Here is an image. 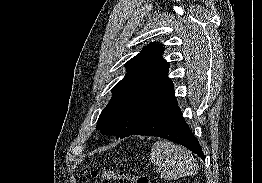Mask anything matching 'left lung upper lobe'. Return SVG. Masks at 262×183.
I'll return each mask as SVG.
<instances>
[{
	"label": "left lung upper lobe",
	"instance_id": "1",
	"mask_svg": "<svg viewBox=\"0 0 262 183\" xmlns=\"http://www.w3.org/2000/svg\"><path fill=\"white\" fill-rule=\"evenodd\" d=\"M163 52V45L150 43L126 63L127 74L112 89V98L97 121L102 134L117 138L134 134L174 95Z\"/></svg>",
	"mask_w": 262,
	"mask_h": 183
}]
</instances>
